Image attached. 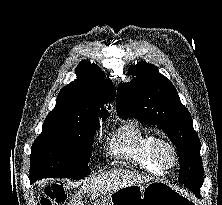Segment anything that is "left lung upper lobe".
I'll list each match as a JSON object with an SVG mask.
<instances>
[{"instance_id":"1","label":"left lung upper lobe","mask_w":222,"mask_h":205,"mask_svg":"<svg viewBox=\"0 0 222 205\" xmlns=\"http://www.w3.org/2000/svg\"><path fill=\"white\" fill-rule=\"evenodd\" d=\"M136 78L122 83L117 92V114L122 119L137 118L160 127L175 144L179 163L191 160L194 169H181L179 182L203 184V167L200 141L193 129L191 115L181 103L174 85L157 70V67L139 62L128 70Z\"/></svg>"}]
</instances>
